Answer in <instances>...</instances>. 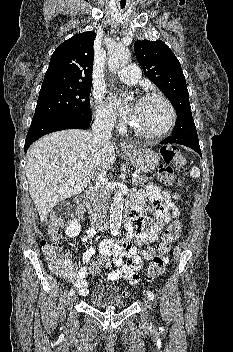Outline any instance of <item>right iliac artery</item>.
Returning <instances> with one entry per match:
<instances>
[{
  "instance_id": "obj_1",
  "label": "right iliac artery",
  "mask_w": 233,
  "mask_h": 352,
  "mask_svg": "<svg viewBox=\"0 0 233 352\" xmlns=\"http://www.w3.org/2000/svg\"><path fill=\"white\" fill-rule=\"evenodd\" d=\"M75 293L74 289H71L69 295H73Z\"/></svg>"
}]
</instances>
